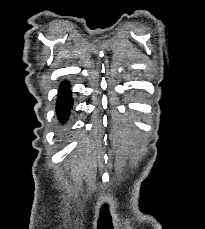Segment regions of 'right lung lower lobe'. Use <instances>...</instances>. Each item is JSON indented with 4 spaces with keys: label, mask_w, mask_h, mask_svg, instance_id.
Listing matches in <instances>:
<instances>
[{
    "label": "right lung lower lobe",
    "mask_w": 205,
    "mask_h": 229,
    "mask_svg": "<svg viewBox=\"0 0 205 229\" xmlns=\"http://www.w3.org/2000/svg\"><path fill=\"white\" fill-rule=\"evenodd\" d=\"M72 106L71 92L67 82H63L58 93L56 110L61 121H65L70 113Z\"/></svg>",
    "instance_id": "obj_1"
}]
</instances>
